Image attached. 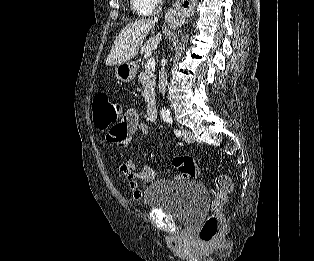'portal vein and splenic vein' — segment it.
Returning <instances> with one entry per match:
<instances>
[{
    "label": "portal vein and splenic vein",
    "instance_id": "portal-vein-and-splenic-vein-1",
    "mask_svg": "<svg viewBox=\"0 0 314 261\" xmlns=\"http://www.w3.org/2000/svg\"><path fill=\"white\" fill-rule=\"evenodd\" d=\"M155 59L154 58H150L147 60V63H146V67L149 68V69H153L155 67Z\"/></svg>",
    "mask_w": 314,
    "mask_h": 261
}]
</instances>
